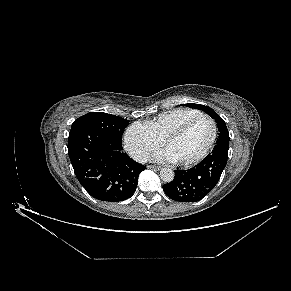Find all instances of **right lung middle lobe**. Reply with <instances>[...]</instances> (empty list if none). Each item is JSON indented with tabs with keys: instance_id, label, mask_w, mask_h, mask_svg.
<instances>
[{
	"instance_id": "obj_1",
	"label": "right lung middle lobe",
	"mask_w": 291,
	"mask_h": 291,
	"mask_svg": "<svg viewBox=\"0 0 291 291\" xmlns=\"http://www.w3.org/2000/svg\"><path fill=\"white\" fill-rule=\"evenodd\" d=\"M128 125L129 121L124 118L103 112H91L76 119L71 131L92 128L121 143L123 131Z\"/></svg>"
}]
</instances>
